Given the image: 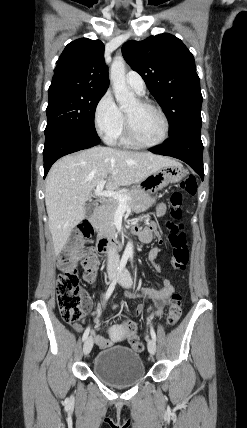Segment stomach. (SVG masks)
I'll return each mask as SVG.
<instances>
[{"mask_svg": "<svg viewBox=\"0 0 247 428\" xmlns=\"http://www.w3.org/2000/svg\"><path fill=\"white\" fill-rule=\"evenodd\" d=\"M186 170L181 164L165 166L138 184L148 194H155L169 184L181 182L186 177Z\"/></svg>", "mask_w": 247, "mask_h": 428, "instance_id": "0dacf381", "label": "stomach"}]
</instances>
